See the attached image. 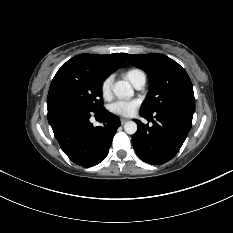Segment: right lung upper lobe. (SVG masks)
Returning a JSON list of instances; mask_svg holds the SVG:
<instances>
[{
	"mask_svg": "<svg viewBox=\"0 0 233 233\" xmlns=\"http://www.w3.org/2000/svg\"><path fill=\"white\" fill-rule=\"evenodd\" d=\"M122 56L123 53L107 55L79 54L67 61L63 67L79 66L108 77L117 69L125 66V60Z\"/></svg>",
	"mask_w": 233,
	"mask_h": 233,
	"instance_id": "1",
	"label": "right lung upper lobe"
}]
</instances>
